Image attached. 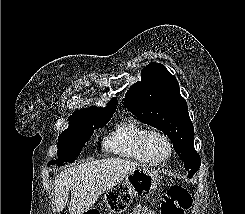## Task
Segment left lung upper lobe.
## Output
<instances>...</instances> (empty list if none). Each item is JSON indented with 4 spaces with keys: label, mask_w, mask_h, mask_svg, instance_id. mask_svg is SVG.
Listing matches in <instances>:
<instances>
[{
    "label": "left lung upper lobe",
    "mask_w": 245,
    "mask_h": 214,
    "mask_svg": "<svg viewBox=\"0 0 245 214\" xmlns=\"http://www.w3.org/2000/svg\"><path fill=\"white\" fill-rule=\"evenodd\" d=\"M141 79L129 88L122 103L141 122L169 137L192 176L200 168L201 158L194 148L193 124L176 77L162 64L150 63L141 70Z\"/></svg>",
    "instance_id": "5c2ea615"
}]
</instances>
